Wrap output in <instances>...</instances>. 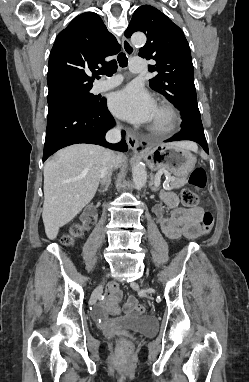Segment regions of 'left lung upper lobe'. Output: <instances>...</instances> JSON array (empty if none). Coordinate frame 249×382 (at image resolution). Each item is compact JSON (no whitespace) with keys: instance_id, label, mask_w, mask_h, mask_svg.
Masks as SVG:
<instances>
[{"instance_id":"left-lung-upper-lobe-1","label":"left lung upper lobe","mask_w":249,"mask_h":382,"mask_svg":"<svg viewBox=\"0 0 249 382\" xmlns=\"http://www.w3.org/2000/svg\"><path fill=\"white\" fill-rule=\"evenodd\" d=\"M136 31L147 35L139 56L156 62L148 68L158 73L149 80L150 87L176 106L183 120H201L190 48L182 30L158 9L143 5L134 12L125 36Z\"/></svg>"}]
</instances>
